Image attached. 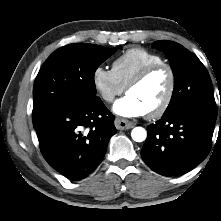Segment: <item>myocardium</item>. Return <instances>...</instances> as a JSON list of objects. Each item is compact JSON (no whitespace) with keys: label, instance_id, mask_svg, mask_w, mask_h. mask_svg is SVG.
<instances>
[{"label":"myocardium","instance_id":"f54148a6","mask_svg":"<svg viewBox=\"0 0 221 221\" xmlns=\"http://www.w3.org/2000/svg\"><path fill=\"white\" fill-rule=\"evenodd\" d=\"M160 69H166L169 74V86L166 92V95L160 105L153 109L150 112H147V116L149 118H158L162 116L166 110L169 108L176 88V74L173 67L165 62L151 64L144 69H142L139 73H137L127 84L126 91L128 92L131 88L141 84L145 81L151 74Z\"/></svg>","mask_w":221,"mask_h":221}]
</instances>
